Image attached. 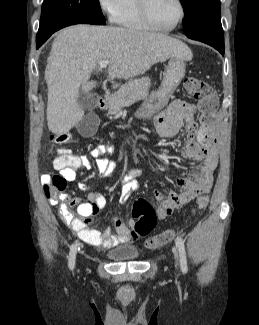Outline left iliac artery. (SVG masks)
I'll return each mask as SVG.
<instances>
[{"label": "left iliac artery", "instance_id": "44dca946", "mask_svg": "<svg viewBox=\"0 0 259 325\" xmlns=\"http://www.w3.org/2000/svg\"><path fill=\"white\" fill-rule=\"evenodd\" d=\"M176 244H177V247H178V250H179L181 270H182L183 273H186L187 270H188L186 252H185L184 241L180 236H177Z\"/></svg>", "mask_w": 259, "mask_h": 325}]
</instances>
